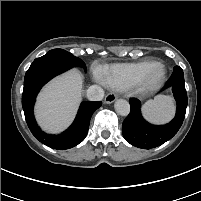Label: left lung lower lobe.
Returning a JSON list of instances; mask_svg holds the SVG:
<instances>
[{
	"instance_id": "left-lung-lower-lobe-1",
	"label": "left lung lower lobe",
	"mask_w": 201,
	"mask_h": 201,
	"mask_svg": "<svg viewBox=\"0 0 201 201\" xmlns=\"http://www.w3.org/2000/svg\"><path fill=\"white\" fill-rule=\"evenodd\" d=\"M172 88L177 102L175 118L165 125H152L141 115V103L138 99H130L131 111L123 122L122 132L126 141L142 149H151L170 140L180 129L185 118L187 94L184 85L183 70L175 66L164 89Z\"/></svg>"
}]
</instances>
